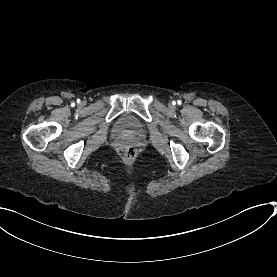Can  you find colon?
I'll list each match as a JSON object with an SVG mask.
<instances>
[{"mask_svg": "<svg viewBox=\"0 0 277 277\" xmlns=\"http://www.w3.org/2000/svg\"><path fill=\"white\" fill-rule=\"evenodd\" d=\"M123 156L128 161H135L140 156V149L135 144H128L123 149Z\"/></svg>", "mask_w": 277, "mask_h": 277, "instance_id": "5ec220e1", "label": "colon"}]
</instances>
